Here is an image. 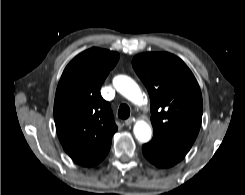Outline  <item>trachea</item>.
Segmentation results:
<instances>
[{"label": "trachea", "instance_id": "1", "mask_svg": "<svg viewBox=\"0 0 245 195\" xmlns=\"http://www.w3.org/2000/svg\"><path fill=\"white\" fill-rule=\"evenodd\" d=\"M118 116L121 119H127L130 116V108L127 104H122L119 107Z\"/></svg>", "mask_w": 245, "mask_h": 195}]
</instances>
